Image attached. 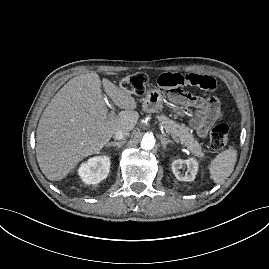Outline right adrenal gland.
Listing matches in <instances>:
<instances>
[{"instance_id": "right-adrenal-gland-1", "label": "right adrenal gland", "mask_w": 269, "mask_h": 269, "mask_svg": "<svg viewBox=\"0 0 269 269\" xmlns=\"http://www.w3.org/2000/svg\"><path fill=\"white\" fill-rule=\"evenodd\" d=\"M124 143L125 141H121V142L113 141V142L107 143L106 147L115 146V147H118V149H120Z\"/></svg>"}]
</instances>
